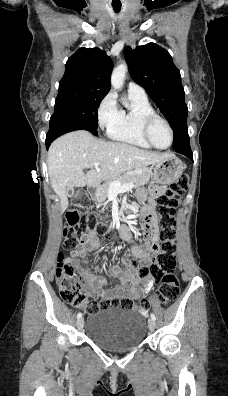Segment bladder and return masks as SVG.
<instances>
[{
	"instance_id": "31cf9c89",
	"label": "bladder",
	"mask_w": 228,
	"mask_h": 396,
	"mask_svg": "<svg viewBox=\"0 0 228 396\" xmlns=\"http://www.w3.org/2000/svg\"><path fill=\"white\" fill-rule=\"evenodd\" d=\"M85 333L102 348L126 351L137 347L145 340L146 320L133 310L102 309L89 315Z\"/></svg>"
}]
</instances>
